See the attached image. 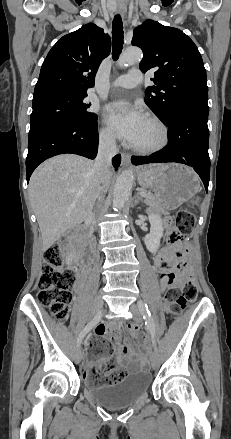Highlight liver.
Wrapping results in <instances>:
<instances>
[{"instance_id": "6515ba94", "label": "liver", "mask_w": 231, "mask_h": 439, "mask_svg": "<svg viewBox=\"0 0 231 439\" xmlns=\"http://www.w3.org/2000/svg\"><path fill=\"white\" fill-rule=\"evenodd\" d=\"M111 179L112 173L109 184ZM100 186L94 162L78 155H58L37 167L30 178L29 196L43 252L91 215Z\"/></svg>"}]
</instances>
